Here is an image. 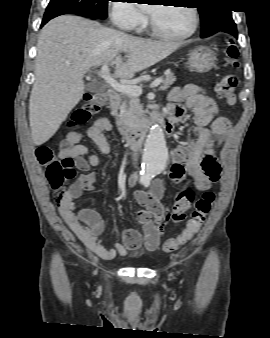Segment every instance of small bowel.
I'll return each mask as SVG.
<instances>
[{"mask_svg": "<svg viewBox=\"0 0 270 338\" xmlns=\"http://www.w3.org/2000/svg\"><path fill=\"white\" fill-rule=\"evenodd\" d=\"M168 99L169 104L164 108V111L172 124V134L174 133V125L182 119L184 108L191 112L195 123L190 142L187 145L176 147L173 151L174 162L169 169V177L178 184L188 174L194 179L199 190L206 191L216 180L210 178L203 171L202 159L209 152L211 157L216 160L214 150L220 149L225 144L230 135V129L219 131L215 127L209 128L211 123L215 125L219 109L216 102L198 85L190 83L183 87H174L169 93ZM111 129V121L106 117H101L95 120L86 132L87 137L98 146L103 155L110 151L105 133ZM83 140L84 135L81 132L70 131L61 145L60 157H71L76 168L84 171L63 194L56 196L62 217L83 244L104 260H112L117 255L125 254L127 250L138 251L142 246L148 251H155L163 232V227L156 221L164 214V206L160 201L164 187L160 180L153 181L149 193L142 191L134 194L136 201L155 221L149 220L144 223L143 236L135 230H124L122 242L114 243L111 248H106L99 239L104 231L103 220L89 210L76 211L75 201L85 191H91L94 188L96 173L88 170L99 164L98 155L91 154L86 157L88 148L83 144ZM136 179L137 175L135 174L132 177V184ZM139 214L140 212L138 217Z\"/></svg>", "mask_w": 270, "mask_h": 338, "instance_id": "small-bowel-1", "label": "small bowel"}]
</instances>
